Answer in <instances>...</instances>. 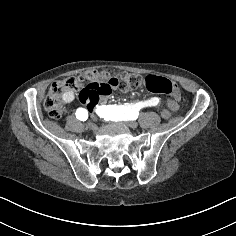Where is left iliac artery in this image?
<instances>
[{
	"label": "left iliac artery",
	"mask_w": 236,
	"mask_h": 236,
	"mask_svg": "<svg viewBox=\"0 0 236 236\" xmlns=\"http://www.w3.org/2000/svg\"><path fill=\"white\" fill-rule=\"evenodd\" d=\"M159 103L158 98H152L149 101L138 102L136 104H128L124 105H96V113L100 118H104L106 121H128L132 120L135 116L139 114V110L145 106H155Z\"/></svg>",
	"instance_id": "44dca946"
}]
</instances>
